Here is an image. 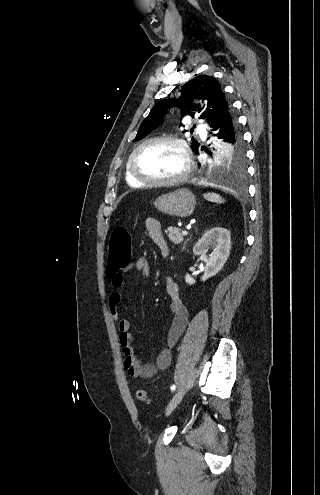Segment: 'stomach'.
I'll return each mask as SVG.
<instances>
[{"instance_id":"1","label":"stomach","mask_w":320,"mask_h":495,"mask_svg":"<svg viewBox=\"0 0 320 495\" xmlns=\"http://www.w3.org/2000/svg\"><path fill=\"white\" fill-rule=\"evenodd\" d=\"M195 196L188 189H177L172 193L161 195L154 202L155 208L164 214L188 217L195 208Z\"/></svg>"}]
</instances>
